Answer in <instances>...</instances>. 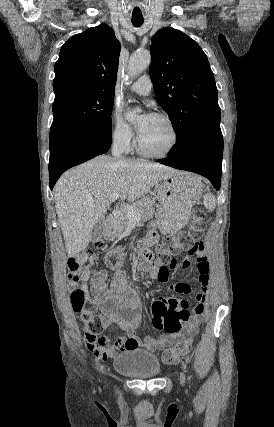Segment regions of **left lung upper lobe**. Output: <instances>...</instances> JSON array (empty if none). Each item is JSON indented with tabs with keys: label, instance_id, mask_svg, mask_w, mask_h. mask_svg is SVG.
I'll return each instance as SVG.
<instances>
[{
	"label": "left lung upper lobe",
	"instance_id": "left-lung-upper-lobe-1",
	"mask_svg": "<svg viewBox=\"0 0 274 427\" xmlns=\"http://www.w3.org/2000/svg\"><path fill=\"white\" fill-rule=\"evenodd\" d=\"M150 75L157 102L169 114L179 150L205 131H220V107L212 70L200 46L166 27L152 37Z\"/></svg>",
	"mask_w": 274,
	"mask_h": 427
}]
</instances>
